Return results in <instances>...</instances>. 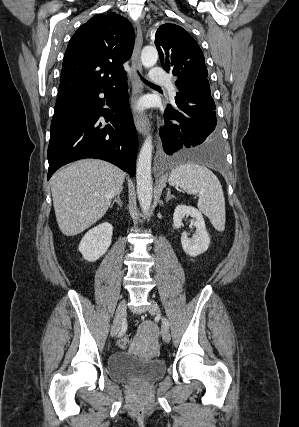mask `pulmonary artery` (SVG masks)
<instances>
[{
	"mask_svg": "<svg viewBox=\"0 0 299 427\" xmlns=\"http://www.w3.org/2000/svg\"><path fill=\"white\" fill-rule=\"evenodd\" d=\"M149 77L156 83L166 85L168 87L170 96L174 97L176 95L175 87L172 85L168 75L162 68L158 66L152 67L149 73Z\"/></svg>",
	"mask_w": 299,
	"mask_h": 427,
	"instance_id": "1",
	"label": "pulmonary artery"
}]
</instances>
